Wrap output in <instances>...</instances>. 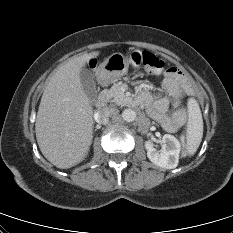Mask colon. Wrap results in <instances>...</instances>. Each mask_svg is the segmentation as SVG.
Wrapping results in <instances>:
<instances>
[{"label":"colon","instance_id":"obj_1","mask_svg":"<svg viewBox=\"0 0 233 233\" xmlns=\"http://www.w3.org/2000/svg\"><path fill=\"white\" fill-rule=\"evenodd\" d=\"M141 57L147 73L151 75H160L164 71L165 63L160 57L150 52H143ZM182 142H184V138H182ZM183 155H186V149Z\"/></svg>","mask_w":233,"mask_h":233}]
</instances>
